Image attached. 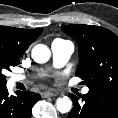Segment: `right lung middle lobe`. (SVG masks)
<instances>
[{
	"mask_svg": "<svg viewBox=\"0 0 118 118\" xmlns=\"http://www.w3.org/2000/svg\"><path fill=\"white\" fill-rule=\"evenodd\" d=\"M20 62V57L12 54L3 47H0V87L6 86L5 70L10 71L11 66H16Z\"/></svg>",
	"mask_w": 118,
	"mask_h": 118,
	"instance_id": "right-lung-middle-lobe-1",
	"label": "right lung middle lobe"
}]
</instances>
